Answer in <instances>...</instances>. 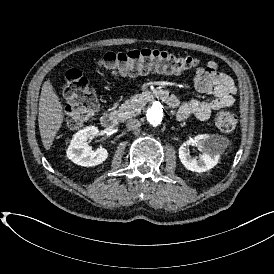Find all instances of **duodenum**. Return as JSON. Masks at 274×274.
I'll return each instance as SVG.
<instances>
[{
	"instance_id": "410a0bca",
	"label": "duodenum",
	"mask_w": 274,
	"mask_h": 274,
	"mask_svg": "<svg viewBox=\"0 0 274 274\" xmlns=\"http://www.w3.org/2000/svg\"><path fill=\"white\" fill-rule=\"evenodd\" d=\"M138 99L143 102L159 99L165 102L170 108L176 109L179 107V99L177 96L165 89H153L142 92ZM101 124L108 130H115L120 125V117L114 112H105L101 116Z\"/></svg>"
}]
</instances>
